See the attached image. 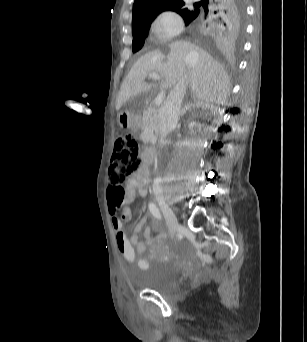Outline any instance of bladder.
<instances>
[{
	"instance_id": "1",
	"label": "bladder",
	"mask_w": 307,
	"mask_h": 342,
	"mask_svg": "<svg viewBox=\"0 0 307 342\" xmlns=\"http://www.w3.org/2000/svg\"><path fill=\"white\" fill-rule=\"evenodd\" d=\"M180 278V272L174 265L163 259H157L147 267L144 286L153 291L166 293L179 286Z\"/></svg>"
}]
</instances>
